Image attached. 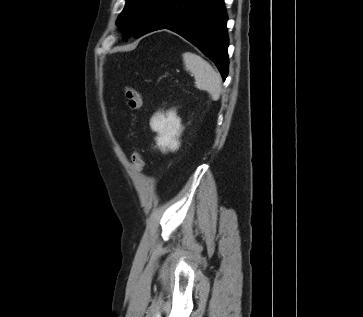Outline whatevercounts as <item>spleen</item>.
Returning <instances> with one entry per match:
<instances>
[{
  "instance_id": "1",
  "label": "spleen",
  "mask_w": 363,
  "mask_h": 317,
  "mask_svg": "<svg viewBox=\"0 0 363 317\" xmlns=\"http://www.w3.org/2000/svg\"><path fill=\"white\" fill-rule=\"evenodd\" d=\"M185 69L195 77V85L200 90L207 91L213 99H218L221 93V76L202 57L191 52L182 55Z\"/></svg>"
}]
</instances>
